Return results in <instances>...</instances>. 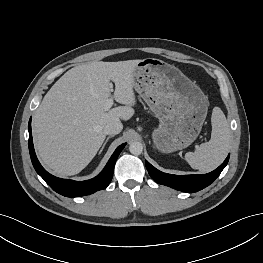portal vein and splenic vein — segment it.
Listing matches in <instances>:
<instances>
[{"mask_svg":"<svg viewBox=\"0 0 263 263\" xmlns=\"http://www.w3.org/2000/svg\"><path fill=\"white\" fill-rule=\"evenodd\" d=\"M113 104H114L113 98L107 99L104 105V109L109 110Z\"/></svg>","mask_w":263,"mask_h":263,"instance_id":"obj_1","label":"portal vein and splenic vein"}]
</instances>
